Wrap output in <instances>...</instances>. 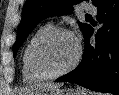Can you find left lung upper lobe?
<instances>
[{
  "label": "left lung upper lobe",
  "mask_w": 119,
  "mask_h": 95,
  "mask_svg": "<svg viewBox=\"0 0 119 95\" xmlns=\"http://www.w3.org/2000/svg\"><path fill=\"white\" fill-rule=\"evenodd\" d=\"M82 0H27L22 11V21L18 28L16 42L13 46L14 56L31 31L44 19L50 16H62L73 11V5ZM97 7L103 0H91ZM83 33L89 26L80 23Z\"/></svg>",
  "instance_id": "obj_1"
}]
</instances>
